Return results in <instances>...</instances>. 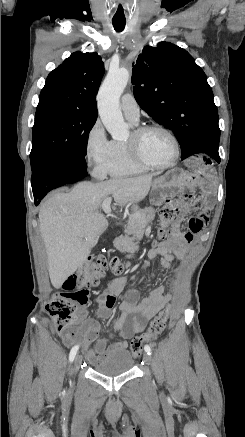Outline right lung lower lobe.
Returning <instances> with one entry per match:
<instances>
[{
  "label": "right lung lower lobe",
  "mask_w": 245,
  "mask_h": 437,
  "mask_svg": "<svg viewBox=\"0 0 245 437\" xmlns=\"http://www.w3.org/2000/svg\"><path fill=\"white\" fill-rule=\"evenodd\" d=\"M87 175L86 164H71L49 159L32 169V190L35 204L51 191L65 184L77 182Z\"/></svg>",
  "instance_id": "obj_1"
}]
</instances>
